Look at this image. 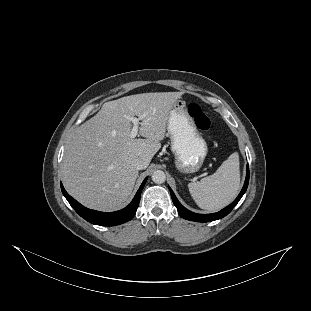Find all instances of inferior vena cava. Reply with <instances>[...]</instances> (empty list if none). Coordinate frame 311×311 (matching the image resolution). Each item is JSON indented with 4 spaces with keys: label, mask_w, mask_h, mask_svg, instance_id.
<instances>
[{
    "label": "inferior vena cava",
    "mask_w": 311,
    "mask_h": 311,
    "mask_svg": "<svg viewBox=\"0 0 311 311\" xmlns=\"http://www.w3.org/2000/svg\"><path fill=\"white\" fill-rule=\"evenodd\" d=\"M132 166H134L137 170L145 169V162L141 158H137L133 160Z\"/></svg>",
    "instance_id": "obj_1"
}]
</instances>
